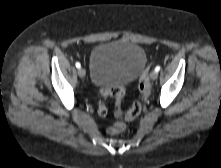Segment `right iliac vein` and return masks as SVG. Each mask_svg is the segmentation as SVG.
I'll return each instance as SVG.
<instances>
[{"label":"right iliac vein","mask_w":221,"mask_h":168,"mask_svg":"<svg viewBox=\"0 0 221 168\" xmlns=\"http://www.w3.org/2000/svg\"><path fill=\"white\" fill-rule=\"evenodd\" d=\"M78 75L81 77V78H84L86 76V71L84 68H79L78 69Z\"/></svg>","instance_id":"obj_1"}]
</instances>
